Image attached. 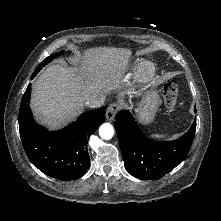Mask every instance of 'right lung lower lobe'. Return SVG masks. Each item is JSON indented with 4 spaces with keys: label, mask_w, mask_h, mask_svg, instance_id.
I'll list each match as a JSON object with an SVG mask.
<instances>
[{
    "label": "right lung lower lobe",
    "mask_w": 221,
    "mask_h": 221,
    "mask_svg": "<svg viewBox=\"0 0 221 221\" xmlns=\"http://www.w3.org/2000/svg\"><path fill=\"white\" fill-rule=\"evenodd\" d=\"M37 74L33 73L31 79ZM28 85L19 111V131L29 160L43 173L62 181L82 177L89 165L87 142L105 119L106 107L84 112L75 122L59 131L38 125L29 107Z\"/></svg>",
    "instance_id": "obj_1"
}]
</instances>
